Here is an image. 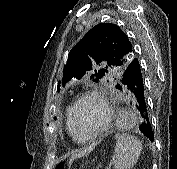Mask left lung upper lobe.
<instances>
[{
    "label": "left lung upper lobe",
    "instance_id": "obj_1",
    "mask_svg": "<svg viewBox=\"0 0 177 169\" xmlns=\"http://www.w3.org/2000/svg\"><path fill=\"white\" fill-rule=\"evenodd\" d=\"M135 56L133 44L119 26L98 24L69 52L63 69V86L72 78L81 79L83 76L99 82L114 73L115 80H118Z\"/></svg>",
    "mask_w": 177,
    "mask_h": 169
}]
</instances>
